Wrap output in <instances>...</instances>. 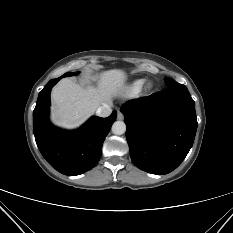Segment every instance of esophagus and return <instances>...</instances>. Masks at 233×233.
Instances as JSON below:
<instances>
[{"label":"esophagus","instance_id":"34e87169","mask_svg":"<svg viewBox=\"0 0 233 233\" xmlns=\"http://www.w3.org/2000/svg\"><path fill=\"white\" fill-rule=\"evenodd\" d=\"M123 118H124V116H123L122 112L120 110H118V112H117V119L118 120H123Z\"/></svg>","mask_w":233,"mask_h":233}]
</instances>
